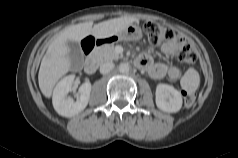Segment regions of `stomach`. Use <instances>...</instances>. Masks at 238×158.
Returning <instances> with one entry per match:
<instances>
[{
	"label": "stomach",
	"mask_w": 238,
	"mask_h": 158,
	"mask_svg": "<svg viewBox=\"0 0 238 158\" xmlns=\"http://www.w3.org/2000/svg\"><path fill=\"white\" fill-rule=\"evenodd\" d=\"M142 38V30L139 26L131 24L124 28L119 33L108 37L110 42L122 41V40H139Z\"/></svg>",
	"instance_id": "1"
}]
</instances>
